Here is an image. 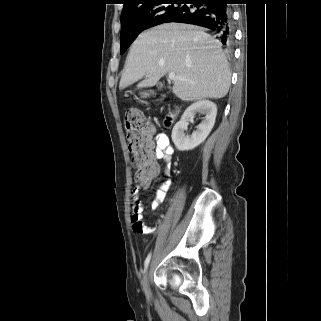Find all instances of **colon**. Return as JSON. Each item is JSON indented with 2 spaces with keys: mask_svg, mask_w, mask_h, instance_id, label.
I'll list each match as a JSON object with an SVG mask.
<instances>
[{
  "mask_svg": "<svg viewBox=\"0 0 321 321\" xmlns=\"http://www.w3.org/2000/svg\"><path fill=\"white\" fill-rule=\"evenodd\" d=\"M125 131L128 149L135 168V178L140 181L151 179L155 166L149 153L150 124L138 109H130L125 114Z\"/></svg>",
  "mask_w": 321,
  "mask_h": 321,
  "instance_id": "5ec220e1",
  "label": "colon"
}]
</instances>
